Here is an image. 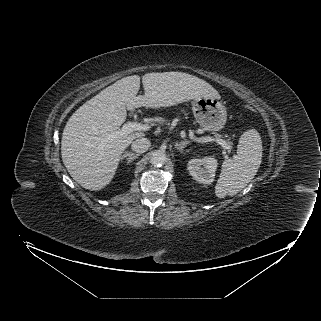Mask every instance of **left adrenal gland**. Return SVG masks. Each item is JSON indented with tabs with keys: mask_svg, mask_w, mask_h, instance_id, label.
<instances>
[{
	"mask_svg": "<svg viewBox=\"0 0 321 321\" xmlns=\"http://www.w3.org/2000/svg\"><path fill=\"white\" fill-rule=\"evenodd\" d=\"M191 143V141H181L180 143H175V148L182 152L184 148L187 146V144Z\"/></svg>",
	"mask_w": 321,
	"mask_h": 321,
	"instance_id": "obj_1",
	"label": "left adrenal gland"
}]
</instances>
